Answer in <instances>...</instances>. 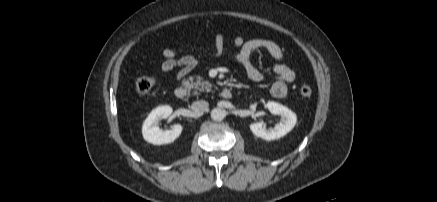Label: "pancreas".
<instances>
[{
    "label": "pancreas",
    "mask_w": 437,
    "mask_h": 202,
    "mask_svg": "<svg viewBox=\"0 0 437 202\" xmlns=\"http://www.w3.org/2000/svg\"><path fill=\"white\" fill-rule=\"evenodd\" d=\"M183 84L189 90L196 89L199 90L200 92L204 90L209 91L212 86L211 83H209L208 81H204L203 78L200 76L197 77L189 76L187 80L183 81ZM193 94L197 95L199 93L195 91L193 92Z\"/></svg>",
    "instance_id": "obj_1"
}]
</instances>
